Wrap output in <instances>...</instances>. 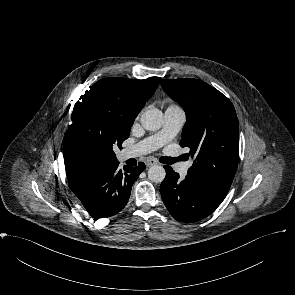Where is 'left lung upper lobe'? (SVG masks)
<instances>
[{"instance_id":"obj_1","label":"left lung upper lobe","mask_w":295,"mask_h":295,"mask_svg":"<svg viewBox=\"0 0 295 295\" xmlns=\"http://www.w3.org/2000/svg\"><path fill=\"white\" fill-rule=\"evenodd\" d=\"M161 86L186 113L180 145L190 148V154L195 156L188 176L224 199L239 155V124L233 104L198 79H162Z\"/></svg>"}]
</instances>
